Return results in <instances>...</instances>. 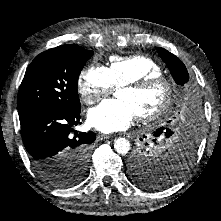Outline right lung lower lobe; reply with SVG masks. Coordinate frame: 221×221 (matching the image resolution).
<instances>
[{
    "mask_svg": "<svg viewBox=\"0 0 221 221\" xmlns=\"http://www.w3.org/2000/svg\"><path fill=\"white\" fill-rule=\"evenodd\" d=\"M19 119L24 146L38 173L61 163L67 152L88 146L96 139L91 131L74 132L73 126L81 124L80 110L31 107L19 113Z\"/></svg>",
    "mask_w": 221,
    "mask_h": 221,
    "instance_id": "right-lung-lower-lobe-1",
    "label": "right lung lower lobe"
}]
</instances>
